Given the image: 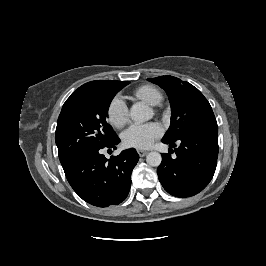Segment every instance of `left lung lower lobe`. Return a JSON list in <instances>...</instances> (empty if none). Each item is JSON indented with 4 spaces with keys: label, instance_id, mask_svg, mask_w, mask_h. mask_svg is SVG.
Segmentation results:
<instances>
[{
    "label": "left lung lower lobe",
    "instance_id": "1",
    "mask_svg": "<svg viewBox=\"0 0 266 266\" xmlns=\"http://www.w3.org/2000/svg\"><path fill=\"white\" fill-rule=\"evenodd\" d=\"M175 147V142L162 140ZM177 157L162 155L157 169L164 189L173 196L190 197L202 191L211 181L218 157V126L199 127L177 140Z\"/></svg>",
    "mask_w": 266,
    "mask_h": 266
}]
</instances>
